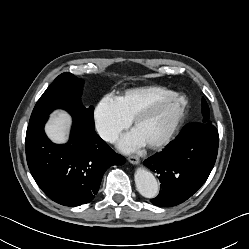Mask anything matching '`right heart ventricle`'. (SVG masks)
Wrapping results in <instances>:
<instances>
[{
    "label": "right heart ventricle",
    "instance_id": "1",
    "mask_svg": "<svg viewBox=\"0 0 249 249\" xmlns=\"http://www.w3.org/2000/svg\"><path fill=\"white\" fill-rule=\"evenodd\" d=\"M174 93L161 86H145L127 90L122 95L116 96L115 100L121 111L129 121L148 104Z\"/></svg>",
    "mask_w": 249,
    "mask_h": 249
}]
</instances>
